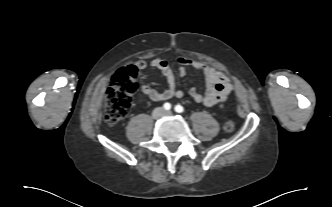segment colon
<instances>
[{"mask_svg": "<svg viewBox=\"0 0 332 207\" xmlns=\"http://www.w3.org/2000/svg\"><path fill=\"white\" fill-rule=\"evenodd\" d=\"M137 71L134 67H123L118 69L113 75L106 90V100L104 116L108 123L115 124L123 119L129 112L133 95L138 89L136 82ZM235 124L228 120L224 129L228 132L233 131Z\"/></svg>", "mask_w": 332, "mask_h": 207, "instance_id": "1", "label": "colon"}]
</instances>
